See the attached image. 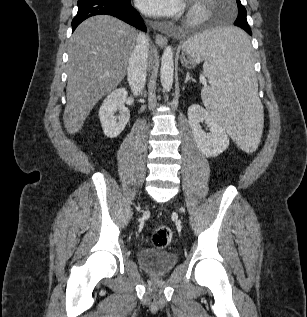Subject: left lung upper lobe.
Masks as SVG:
<instances>
[{"label":"left lung upper lobe","instance_id":"obj_1","mask_svg":"<svg viewBox=\"0 0 307 317\" xmlns=\"http://www.w3.org/2000/svg\"><path fill=\"white\" fill-rule=\"evenodd\" d=\"M237 2V7H238V15L237 18L234 22V25L238 27H249L246 19V9L245 7L241 4L240 0H236Z\"/></svg>","mask_w":307,"mask_h":317}]
</instances>
